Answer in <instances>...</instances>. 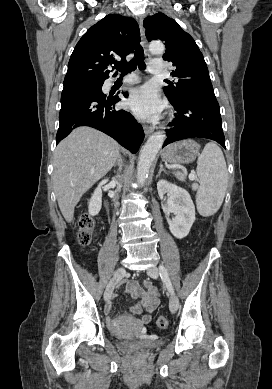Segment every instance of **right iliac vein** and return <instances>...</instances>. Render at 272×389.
I'll return each instance as SVG.
<instances>
[{"label":"right iliac vein","instance_id":"right-iliac-vein-1","mask_svg":"<svg viewBox=\"0 0 272 389\" xmlns=\"http://www.w3.org/2000/svg\"><path fill=\"white\" fill-rule=\"evenodd\" d=\"M126 273V269L124 267H120L116 270V272L114 273V276H113V282L112 284L106 289L105 293H104V299L106 302H108L110 300V296L112 294V291H113V286L115 284V282L119 281Z\"/></svg>","mask_w":272,"mask_h":389}]
</instances>
